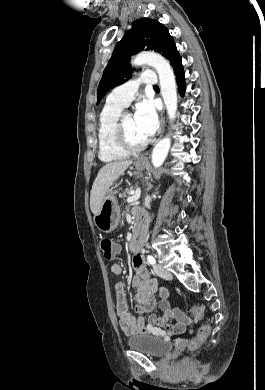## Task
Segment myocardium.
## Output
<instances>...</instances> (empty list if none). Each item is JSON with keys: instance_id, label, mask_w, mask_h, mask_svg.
<instances>
[{"instance_id": "1", "label": "myocardium", "mask_w": 265, "mask_h": 390, "mask_svg": "<svg viewBox=\"0 0 265 390\" xmlns=\"http://www.w3.org/2000/svg\"><path fill=\"white\" fill-rule=\"evenodd\" d=\"M128 113H122L116 123L115 138L118 146L127 153H138L146 148L148 141L145 140L141 144H133L127 137L124 128V118Z\"/></svg>"}]
</instances>
